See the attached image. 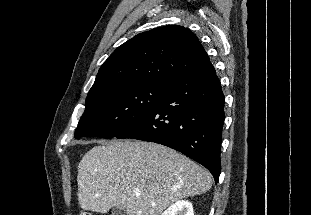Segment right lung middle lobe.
Masks as SVG:
<instances>
[{
  "mask_svg": "<svg viewBox=\"0 0 311 215\" xmlns=\"http://www.w3.org/2000/svg\"><path fill=\"white\" fill-rule=\"evenodd\" d=\"M165 90L166 84L144 83L110 87L87 96L75 138L118 136L153 110Z\"/></svg>",
  "mask_w": 311,
  "mask_h": 215,
  "instance_id": "right-lung-middle-lobe-1",
  "label": "right lung middle lobe"
}]
</instances>
